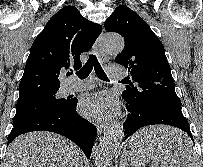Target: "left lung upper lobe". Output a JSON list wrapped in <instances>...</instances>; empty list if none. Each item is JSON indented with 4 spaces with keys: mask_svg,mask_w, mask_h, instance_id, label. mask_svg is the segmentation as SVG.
<instances>
[{
    "mask_svg": "<svg viewBox=\"0 0 203 167\" xmlns=\"http://www.w3.org/2000/svg\"><path fill=\"white\" fill-rule=\"evenodd\" d=\"M105 29L121 34L125 40L115 61L128 68L135 82L122 92L126 103L148 112L181 107L164 47L150 26L136 12L120 5L105 21Z\"/></svg>",
    "mask_w": 203,
    "mask_h": 167,
    "instance_id": "5c2ea615",
    "label": "left lung upper lobe"
}]
</instances>
